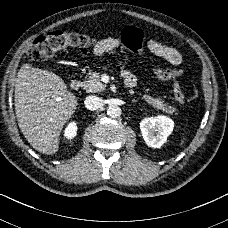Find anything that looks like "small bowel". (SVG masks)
Listing matches in <instances>:
<instances>
[{"label": "small bowel", "instance_id": "1", "mask_svg": "<svg viewBox=\"0 0 228 228\" xmlns=\"http://www.w3.org/2000/svg\"><path fill=\"white\" fill-rule=\"evenodd\" d=\"M139 29L128 26L123 29L121 37H107L98 41L93 47V54L97 57L102 56L105 53L113 52L117 50L122 44L124 47L129 48L133 52L141 51L145 45L147 50L160 58L165 59L170 64L178 66L182 63V54L175 48L162 44L156 39H149L146 44L145 38L138 31ZM154 75L160 80H172L181 75L180 70L154 68ZM131 79L136 81L135 75L130 71L124 72V80Z\"/></svg>", "mask_w": 228, "mask_h": 228}]
</instances>
